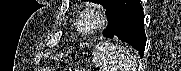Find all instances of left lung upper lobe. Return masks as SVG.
Segmentation results:
<instances>
[{
  "instance_id": "1",
  "label": "left lung upper lobe",
  "mask_w": 181,
  "mask_h": 71,
  "mask_svg": "<svg viewBox=\"0 0 181 71\" xmlns=\"http://www.w3.org/2000/svg\"><path fill=\"white\" fill-rule=\"evenodd\" d=\"M84 1H88V0H84ZM89 1L103 5V7L106 9V12L116 2V0H89Z\"/></svg>"
}]
</instances>
